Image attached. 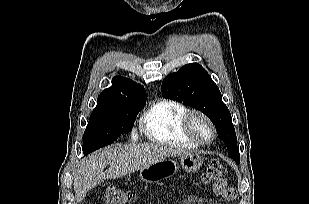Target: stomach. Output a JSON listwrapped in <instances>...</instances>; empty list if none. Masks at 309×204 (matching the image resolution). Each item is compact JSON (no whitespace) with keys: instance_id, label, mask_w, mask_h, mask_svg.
Returning a JSON list of instances; mask_svg holds the SVG:
<instances>
[{"instance_id":"obj_1","label":"stomach","mask_w":309,"mask_h":204,"mask_svg":"<svg viewBox=\"0 0 309 204\" xmlns=\"http://www.w3.org/2000/svg\"><path fill=\"white\" fill-rule=\"evenodd\" d=\"M180 166L186 172H196L202 166V158L194 153L180 155ZM178 162L175 157H168L163 161L154 163L140 170L139 177L146 183H156L164 178L174 175L178 170Z\"/></svg>"}]
</instances>
